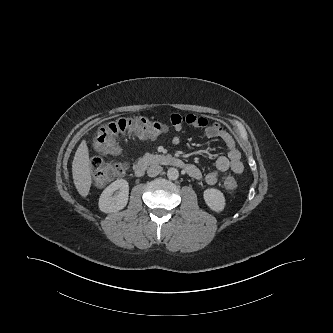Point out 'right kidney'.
<instances>
[{"mask_svg":"<svg viewBox=\"0 0 333 333\" xmlns=\"http://www.w3.org/2000/svg\"><path fill=\"white\" fill-rule=\"evenodd\" d=\"M129 197V184L124 179L112 182L104 189L99 198V209L104 213L116 212L123 209Z\"/></svg>","mask_w":333,"mask_h":333,"instance_id":"right-kidney-1","label":"right kidney"}]
</instances>
